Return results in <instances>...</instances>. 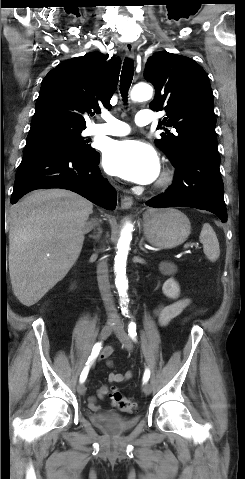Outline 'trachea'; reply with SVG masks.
<instances>
[{
	"instance_id": "3493384b",
	"label": "trachea",
	"mask_w": 245,
	"mask_h": 479,
	"mask_svg": "<svg viewBox=\"0 0 245 479\" xmlns=\"http://www.w3.org/2000/svg\"><path fill=\"white\" fill-rule=\"evenodd\" d=\"M134 64L131 59H126L123 64L121 79H120V91L123 97V101L127 102L128 90L133 80Z\"/></svg>"
}]
</instances>
